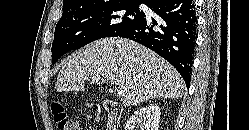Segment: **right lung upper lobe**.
Returning a JSON list of instances; mask_svg holds the SVG:
<instances>
[{"mask_svg":"<svg viewBox=\"0 0 249 130\" xmlns=\"http://www.w3.org/2000/svg\"><path fill=\"white\" fill-rule=\"evenodd\" d=\"M108 1L114 0H64L63 1V13L79 10L94 4L104 3ZM135 1H142L146 4H150L152 0H135Z\"/></svg>","mask_w":249,"mask_h":130,"instance_id":"right-lung-upper-lobe-1","label":"right lung upper lobe"}]
</instances>
